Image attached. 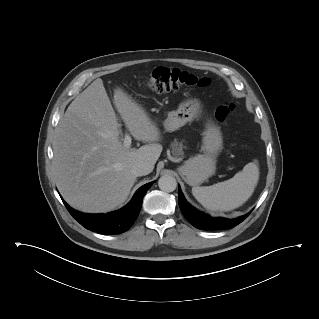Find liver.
I'll return each mask as SVG.
<instances>
[{
	"instance_id": "1",
	"label": "liver",
	"mask_w": 319,
	"mask_h": 319,
	"mask_svg": "<svg viewBox=\"0 0 319 319\" xmlns=\"http://www.w3.org/2000/svg\"><path fill=\"white\" fill-rule=\"evenodd\" d=\"M114 104L144 146L130 149L122 143L121 125L100 78L72 101L56 130V186L82 212L106 213L122 205L136 180L131 166L145 161L153 170L162 152L160 130L143 107L121 88L114 90Z\"/></svg>"
}]
</instances>
